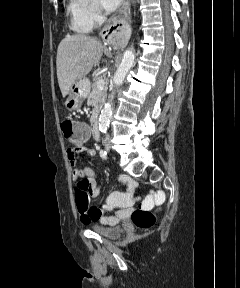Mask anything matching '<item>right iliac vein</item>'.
I'll use <instances>...</instances> for the list:
<instances>
[{"label":"right iliac vein","mask_w":240,"mask_h":288,"mask_svg":"<svg viewBox=\"0 0 240 288\" xmlns=\"http://www.w3.org/2000/svg\"><path fill=\"white\" fill-rule=\"evenodd\" d=\"M106 148H107V149H109V148H110V146H109V145H106Z\"/></svg>","instance_id":"1"}]
</instances>
